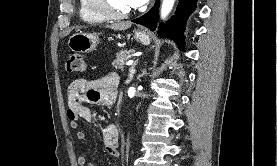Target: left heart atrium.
Listing matches in <instances>:
<instances>
[{"mask_svg":"<svg viewBox=\"0 0 277 166\" xmlns=\"http://www.w3.org/2000/svg\"><path fill=\"white\" fill-rule=\"evenodd\" d=\"M149 0H129L132 8L140 7L146 4Z\"/></svg>","mask_w":277,"mask_h":166,"instance_id":"left-heart-atrium-1","label":"left heart atrium"}]
</instances>
